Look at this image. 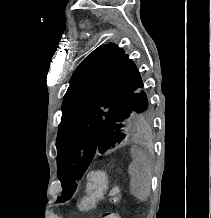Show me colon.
I'll return each mask as SVG.
<instances>
[{"label": "colon", "instance_id": "obj_1", "mask_svg": "<svg viewBox=\"0 0 211 218\" xmlns=\"http://www.w3.org/2000/svg\"><path fill=\"white\" fill-rule=\"evenodd\" d=\"M108 184L107 173L103 170H94L88 174V184L86 195L82 199L80 205L84 209H90L96 206V204L103 197ZM119 190L113 188L110 192L113 202L118 200ZM101 218H120L116 212H107L102 215Z\"/></svg>", "mask_w": 211, "mask_h": 218}]
</instances>
